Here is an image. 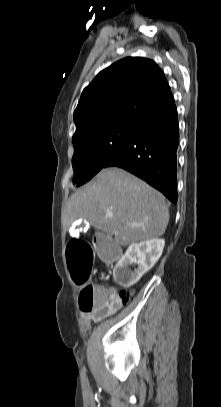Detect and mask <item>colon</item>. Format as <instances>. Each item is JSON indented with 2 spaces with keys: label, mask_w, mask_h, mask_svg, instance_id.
<instances>
[{
  "label": "colon",
  "mask_w": 221,
  "mask_h": 407,
  "mask_svg": "<svg viewBox=\"0 0 221 407\" xmlns=\"http://www.w3.org/2000/svg\"><path fill=\"white\" fill-rule=\"evenodd\" d=\"M117 245V240H111L110 234L94 236L93 247L102 261L120 260L122 248ZM67 260L73 280L81 286L79 302L82 311L108 316L130 300L133 291H114L90 282L94 250L87 241L72 240L67 246Z\"/></svg>",
  "instance_id": "1"
}]
</instances>
